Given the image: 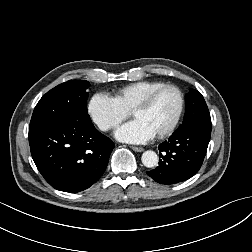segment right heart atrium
I'll use <instances>...</instances> for the list:
<instances>
[{
    "instance_id": "d8ad5b80",
    "label": "right heart atrium",
    "mask_w": 252,
    "mask_h": 252,
    "mask_svg": "<svg viewBox=\"0 0 252 252\" xmlns=\"http://www.w3.org/2000/svg\"><path fill=\"white\" fill-rule=\"evenodd\" d=\"M87 111L93 123L105 132L116 128L128 117V111L111 96L101 92L94 93L90 97Z\"/></svg>"
}]
</instances>
